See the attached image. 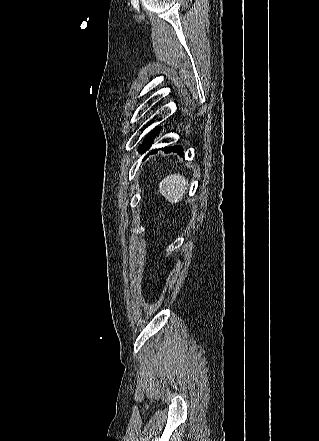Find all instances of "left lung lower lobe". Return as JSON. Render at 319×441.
<instances>
[{"label":"left lung lower lobe","instance_id":"left-lung-lower-lobe-1","mask_svg":"<svg viewBox=\"0 0 319 441\" xmlns=\"http://www.w3.org/2000/svg\"><path fill=\"white\" fill-rule=\"evenodd\" d=\"M160 131V130H159ZM158 131V132H159ZM157 135V134H156ZM155 135V136H156ZM155 136H154V138H155ZM154 138H153V140H154ZM153 140H152V142H153ZM151 146V144L149 145V147ZM149 147L147 148V150L149 149ZM163 150H165L166 152H177L178 154H183L182 153V147L181 146H171V147H165V148H162ZM154 152H157V150L156 151H152L151 153H154Z\"/></svg>","mask_w":319,"mask_h":441}]
</instances>
